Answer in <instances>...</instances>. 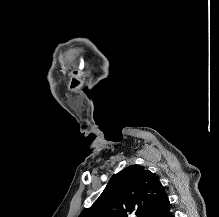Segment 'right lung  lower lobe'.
I'll use <instances>...</instances> for the list:
<instances>
[{
  "instance_id": "obj_1",
  "label": "right lung lower lobe",
  "mask_w": 219,
  "mask_h": 217,
  "mask_svg": "<svg viewBox=\"0 0 219 217\" xmlns=\"http://www.w3.org/2000/svg\"><path fill=\"white\" fill-rule=\"evenodd\" d=\"M163 217H174V215L172 214V212L170 211V209L164 214Z\"/></svg>"
}]
</instances>
